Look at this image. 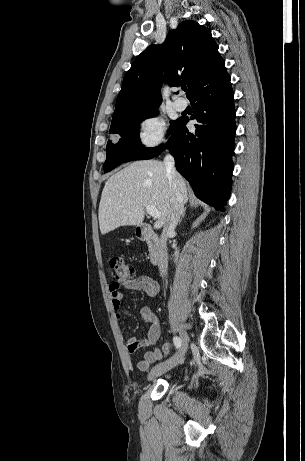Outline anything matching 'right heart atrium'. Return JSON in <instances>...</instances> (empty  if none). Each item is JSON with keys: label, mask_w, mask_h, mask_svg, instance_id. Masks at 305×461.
<instances>
[{"label": "right heart atrium", "mask_w": 305, "mask_h": 461, "mask_svg": "<svg viewBox=\"0 0 305 461\" xmlns=\"http://www.w3.org/2000/svg\"><path fill=\"white\" fill-rule=\"evenodd\" d=\"M166 123L155 115L143 118L137 127L136 137L139 145L146 149L160 146L165 139Z\"/></svg>", "instance_id": "right-heart-atrium-1"}]
</instances>
